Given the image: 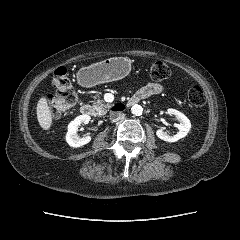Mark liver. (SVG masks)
Wrapping results in <instances>:
<instances>
[{
    "label": "liver",
    "mask_w": 240,
    "mask_h": 240,
    "mask_svg": "<svg viewBox=\"0 0 240 240\" xmlns=\"http://www.w3.org/2000/svg\"><path fill=\"white\" fill-rule=\"evenodd\" d=\"M37 119L43 130H49L52 125V112L48 106L47 99L42 97L39 99L36 107Z\"/></svg>",
    "instance_id": "6515ba94"
}]
</instances>
